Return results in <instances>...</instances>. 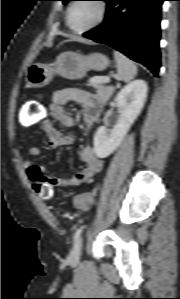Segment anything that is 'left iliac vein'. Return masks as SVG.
<instances>
[{
	"mask_svg": "<svg viewBox=\"0 0 180 299\" xmlns=\"http://www.w3.org/2000/svg\"><path fill=\"white\" fill-rule=\"evenodd\" d=\"M81 253H82V238H79L75 243L74 246L70 252L69 255V260L74 263L77 264L80 260L81 257Z\"/></svg>",
	"mask_w": 180,
	"mask_h": 299,
	"instance_id": "1",
	"label": "left iliac vein"
}]
</instances>
